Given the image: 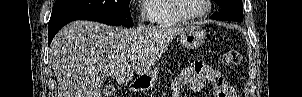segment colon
Returning <instances> with one entry per match:
<instances>
[{
	"mask_svg": "<svg viewBox=\"0 0 302 97\" xmlns=\"http://www.w3.org/2000/svg\"><path fill=\"white\" fill-rule=\"evenodd\" d=\"M242 60V53L238 50H229L223 56V61L228 66H237Z\"/></svg>",
	"mask_w": 302,
	"mask_h": 97,
	"instance_id": "obj_1",
	"label": "colon"
}]
</instances>
